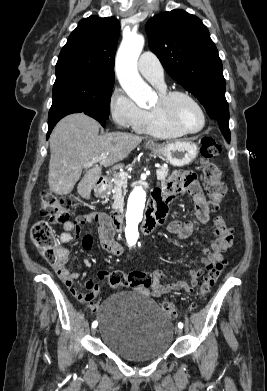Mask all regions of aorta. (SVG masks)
<instances>
[{"label":"aorta","mask_w":267,"mask_h":391,"mask_svg":"<svg viewBox=\"0 0 267 391\" xmlns=\"http://www.w3.org/2000/svg\"><path fill=\"white\" fill-rule=\"evenodd\" d=\"M144 37L140 34H126L116 56V70L121 87L139 106H145L153 97L149 85L137 70V61L144 47ZM146 191L142 186L134 187L128 199L125 234L129 244L136 243L139 225L143 217Z\"/></svg>","instance_id":"762f6f07"}]
</instances>
